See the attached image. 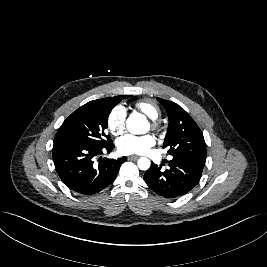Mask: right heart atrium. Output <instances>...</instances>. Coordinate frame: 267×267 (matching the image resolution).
I'll use <instances>...</instances> for the list:
<instances>
[{
    "label": "right heart atrium",
    "instance_id": "1",
    "mask_svg": "<svg viewBox=\"0 0 267 267\" xmlns=\"http://www.w3.org/2000/svg\"><path fill=\"white\" fill-rule=\"evenodd\" d=\"M127 111L122 105L115 106L108 114L107 127L114 135L121 134L126 126Z\"/></svg>",
    "mask_w": 267,
    "mask_h": 267
}]
</instances>
